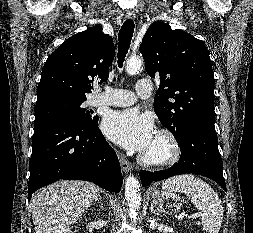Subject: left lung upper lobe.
Returning a JSON list of instances; mask_svg holds the SVG:
<instances>
[{"label":"left lung upper lobe","instance_id":"1","mask_svg":"<svg viewBox=\"0 0 253 233\" xmlns=\"http://www.w3.org/2000/svg\"><path fill=\"white\" fill-rule=\"evenodd\" d=\"M140 52L147 73L160 77L154 110L177 140L198 121L215 122L213 69L201 41L157 21L147 29Z\"/></svg>","mask_w":253,"mask_h":233}]
</instances>
